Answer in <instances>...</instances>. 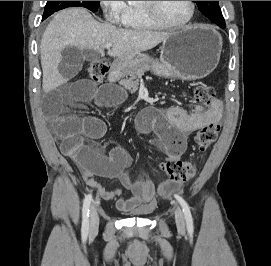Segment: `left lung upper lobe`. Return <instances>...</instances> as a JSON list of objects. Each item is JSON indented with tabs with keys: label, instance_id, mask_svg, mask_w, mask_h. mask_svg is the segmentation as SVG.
I'll list each match as a JSON object with an SVG mask.
<instances>
[{
	"label": "left lung upper lobe",
	"instance_id": "left-lung-upper-lobe-1",
	"mask_svg": "<svg viewBox=\"0 0 271 266\" xmlns=\"http://www.w3.org/2000/svg\"><path fill=\"white\" fill-rule=\"evenodd\" d=\"M201 13L209 20L216 23L221 28L225 26V21L220 10L218 1H195Z\"/></svg>",
	"mask_w": 271,
	"mask_h": 266
}]
</instances>
